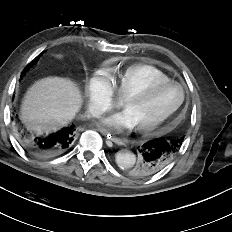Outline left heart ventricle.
<instances>
[{
  "mask_svg": "<svg viewBox=\"0 0 232 232\" xmlns=\"http://www.w3.org/2000/svg\"><path fill=\"white\" fill-rule=\"evenodd\" d=\"M181 98L177 86L163 87L144 100L123 101L122 106L134 119L135 126L153 123L168 113Z\"/></svg>",
  "mask_w": 232,
  "mask_h": 232,
  "instance_id": "left-heart-ventricle-1",
  "label": "left heart ventricle"
}]
</instances>
